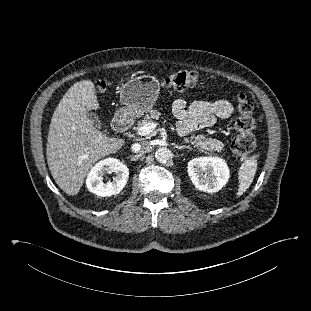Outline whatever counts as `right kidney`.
<instances>
[{"label": "right kidney", "instance_id": "obj_1", "mask_svg": "<svg viewBox=\"0 0 311 311\" xmlns=\"http://www.w3.org/2000/svg\"><path fill=\"white\" fill-rule=\"evenodd\" d=\"M115 172L113 181L103 182L106 172ZM129 178L128 167L116 158H106L98 162L89 172L86 185L90 192L106 197L118 194L125 187Z\"/></svg>", "mask_w": 311, "mask_h": 311}]
</instances>
